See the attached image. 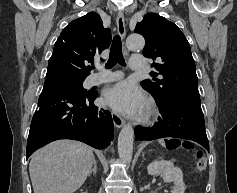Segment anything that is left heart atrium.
<instances>
[{
  "label": "left heart atrium",
  "instance_id": "1",
  "mask_svg": "<svg viewBox=\"0 0 237 193\" xmlns=\"http://www.w3.org/2000/svg\"><path fill=\"white\" fill-rule=\"evenodd\" d=\"M105 103L113 110L129 116H141L148 107V100L131 82H121L109 88L104 95Z\"/></svg>",
  "mask_w": 237,
  "mask_h": 193
}]
</instances>
